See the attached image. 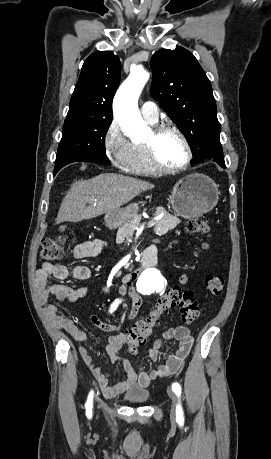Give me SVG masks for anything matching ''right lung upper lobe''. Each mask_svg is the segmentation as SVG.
Masks as SVG:
<instances>
[{
    "instance_id": "1",
    "label": "right lung upper lobe",
    "mask_w": 271,
    "mask_h": 459,
    "mask_svg": "<svg viewBox=\"0 0 271 459\" xmlns=\"http://www.w3.org/2000/svg\"><path fill=\"white\" fill-rule=\"evenodd\" d=\"M121 76L119 57L112 52L92 53L84 62L67 115L112 116V100Z\"/></svg>"
}]
</instances>
